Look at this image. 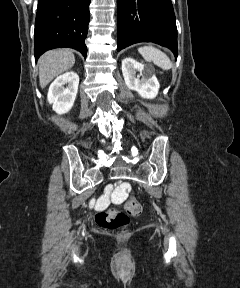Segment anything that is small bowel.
Returning <instances> with one entry per match:
<instances>
[{
    "instance_id": "1",
    "label": "small bowel",
    "mask_w": 240,
    "mask_h": 288,
    "mask_svg": "<svg viewBox=\"0 0 240 288\" xmlns=\"http://www.w3.org/2000/svg\"><path fill=\"white\" fill-rule=\"evenodd\" d=\"M115 193H116V196H117V197H119V198L123 197V196L125 195V188H124V186H121V187L117 188V190H116Z\"/></svg>"
}]
</instances>
